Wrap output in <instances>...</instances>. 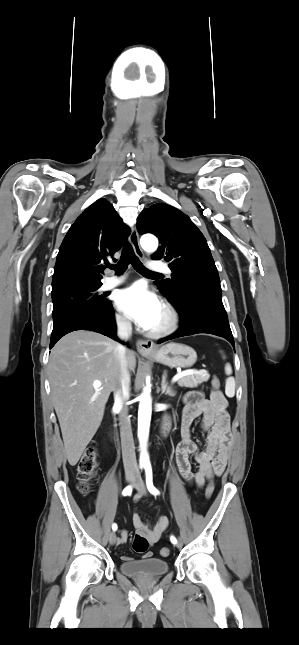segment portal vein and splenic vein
I'll return each mask as SVG.
<instances>
[{
  "mask_svg": "<svg viewBox=\"0 0 299 645\" xmlns=\"http://www.w3.org/2000/svg\"><path fill=\"white\" fill-rule=\"evenodd\" d=\"M195 373H198V371H195V370H187V371H183V372H181V373H179V374L175 375V376L172 378V382H176V381H178L179 379H181V378H182V377H184V376L191 375V374H195ZM101 385H102V383H101L99 380H95V381L93 382V387H94V388H100V387H101Z\"/></svg>",
  "mask_w": 299,
  "mask_h": 645,
  "instance_id": "18ae733b",
  "label": "portal vein and splenic vein"
}]
</instances>
